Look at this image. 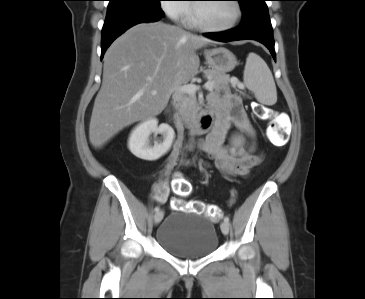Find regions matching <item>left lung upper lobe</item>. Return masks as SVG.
<instances>
[{
	"instance_id": "5c2ea615",
	"label": "left lung upper lobe",
	"mask_w": 365,
	"mask_h": 299,
	"mask_svg": "<svg viewBox=\"0 0 365 299\" xmlns=\"http://www.w3.org/2000/svg\"><path fill=\"white\" fill-rule=\"evenodd\" d=\"M237 1L240 3L242 12L254 5L265 3V0H237Z\"/></svg>"
}]
</instances>
